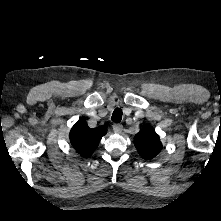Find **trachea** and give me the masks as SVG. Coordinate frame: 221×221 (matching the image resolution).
I'll return each instance as SVG.
<instances>
[{
    "instance_id": "trachea-1",
    "label": "trachea",
    "mask_w": 221,
    "mask_h": 221,
    "mask_svg": "<svg viewBox=\"0 0 221 221\" xmlns=\"http://www.w3.org/2000/svg\"><path fill=\"white\" fill-rule=\"evenodd\" d=\"M122 119V110L120 108H116L112 114L111 120L115 123H119Z\"/></svg>"
}]
</instances>
